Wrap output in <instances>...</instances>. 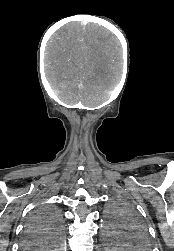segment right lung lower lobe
I'll return each mask as SVG.
<instances>
[{
  "instance_id": "obj_1",
  "label": "right lung lower lobe",
  "mask_w": 174,
  "mask_h": 251,
  "mask_svg": "<svg viewBox=\"0 0 174 251\" xmlns=\"http://www.w3.org/2000/svg\"><path fill=\"white\" fill-rule=\"evenodd\" d=\"M28 233H30V232H26V235H27ZM26 235H25L24 242H23V248H24V243H25ZM24 249H25V248H24ZM26 250H33V249H26Z\"/></svg>"
}]
</instances>
